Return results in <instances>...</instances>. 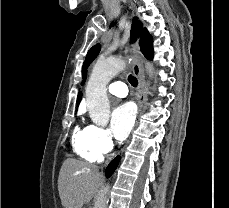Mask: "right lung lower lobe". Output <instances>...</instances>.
Returning a JSON list of instances; mask_svg holds the SVG:
<instances>
[{
	"label": "right lung lower lobe",
	"instance_id": "obj_1",
	"mask_svg": "<svg viewBox=\"0 0 229 208\" xmlns=\"http://www.w3.org/2000/svg\"><path fill=\"white\" fill-rule=\"evenodd\" d=\"M118 162H119V156L110 162V164L106 168V172H105L107 178L113 174V172L115 171V169L118 165Z\"/></svg>",
	"mask_w": 229,
	"mask_h": 208
}]
</instances>
